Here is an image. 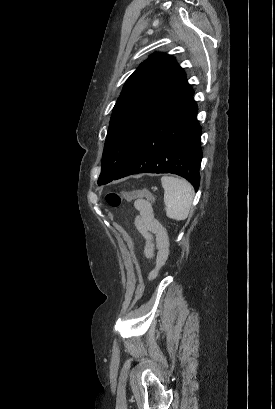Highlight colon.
<instances>
[{
    "label": "colon",
    "instance_id": "1",
    "mask_svg": "<svg viewBox=\"0 0 275 409\" xmlns=\"http://www.w3.org/2000/svg\"><path fill=\"white\" fill-rule=\"evenodd\" d=\"M139 198H146L149 202L154 203L155 198L150 190L147 189H137L132 191H125L121 194L116 192H109L106 196L107 203L110 207L116 208L120 205L122 200L134 201Z\"/></svg>",
    "mask_w": 275,
    "mask_h": 409
}]
</instances>
